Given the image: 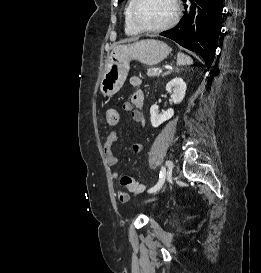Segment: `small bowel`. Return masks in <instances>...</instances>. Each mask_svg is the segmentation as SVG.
Returning <instances> with one entry per match:
<instances>
[{
	"label": "small bowel",
	"instance_id": "1",
	"mask_svg": "<svg viewBox=\"0 0 261 273\" xmlns=\"http://www.w3.org/2000/svg\"><path fill=\"white\" fill-rule=\"evenodd\" d=\"M130 84L134 87H139L142 84V80L139 77H132L130 79ZM145 98L142 91H136L132 97L130 102H125L123 105V109L127 112H130L132 118L137 123L144 125L145 124V116L143 113ZM117 140V133L112 131L108 134L105 145H104V155L106 157L107 164L111 167H114L118 160L116 155L113 152V144ZM143 149V145L140 142H134L131 144V150L134 153H139ZM119 171L113 169L111 171V177L113 179H117L119 177ZM117 197L120 202L126 203L129 200V195L124 191H118Z\"/></svg>",
	"mask_w": 261,
	"mask_h": 273
}]
</instances>
